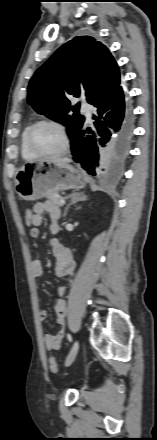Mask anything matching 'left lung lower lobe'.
<instances>
[{
    "mask_svg": "<svg viewBox=\"0 0 157 440\" xmlns=\"http://www.w3.org/2000/svg\"><path fill=\"white\" fill-rule=\"evenodd\" d=\"M97 111L92 127L83 124L71 137L73 160L90 175L116 171L127 154L133 132V113L122 86L93 104Z\"/></svg>",
    "mask_w": 157,
    "mask_h": 440,
    "instance_id": "left-lung-lower-lobe-1",
    "label": "left lung lower lobe"
}]
</instances>
